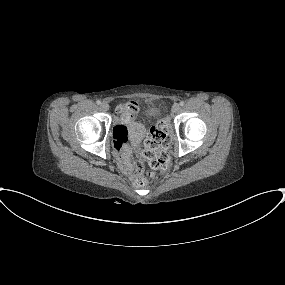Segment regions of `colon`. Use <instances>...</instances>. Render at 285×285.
<instances>
[{
    "label": "colon",
    "mask_w": 285,
    "mask_h": 285,
    "mask_svg": "<svg viewBox=\"0 0 285 285\" xmlns=\"http://www.w3.org/2000/svg\"><path fill=\"white\" fill-rule=\"evenodd\" d=\"M138 110V104L135 102L125 103L120 107L121 113L128 117L134 116ZM119 142L122 145L126 144V135L119 137ZM170 142L171 138L168 133V124L165 120L160 121L151 128L149 136L144 142L141 155L148 161L152 170H145L140 160L134 162L132 169L136 171V175L133 179L135 186H144L147 181L154 176L153 170L166 171L169 168V155L160 149L169 146Z\"/></svg>",
    "instance_id": "colon-1"
}]
</instances>
